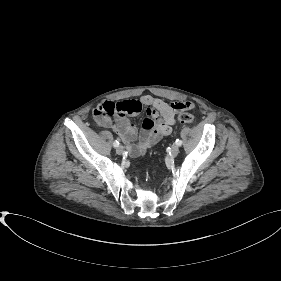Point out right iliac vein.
Instances as JSON below:
<instances>
[{
	"label": "right iliac vein",
	"instance_id": "63e3f726",
	"mask_svg": "<svg viewBox=\"0 0 281 281\" xmlns=\"http://www.w3.org/2000/svg\"><path fill=\"white\" fill-rule=\"evenodd\" d=\"M123 152H124L123 146H118V147L116 148V153H117V154L121 155V154H123Z\"/></svg>",
	"mask_w": 281,
	"mask_h": 281
}]
</instances>
